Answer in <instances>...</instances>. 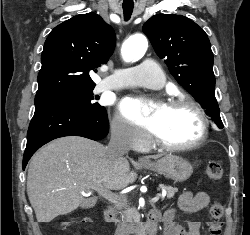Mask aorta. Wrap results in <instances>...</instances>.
I'll list each match as a JSON object with an SVG mask.
<instances>
[{
	"instance_id": "1",
	"label": "aorta",
	"mask_w": 250,
	"mask_h": 235,
	"mask_svg": "<svg viewBox=\"0 0 250 235\" xmlns=\"http://www.w3.org/2000/svg\"><path fill=\"white\" fill-rule=\"evenodd\" d=\"M148 47L145 37L133 36L129 38L122 46V55L127 61L141 58Z\"/></svg>"
}]
</instances>
